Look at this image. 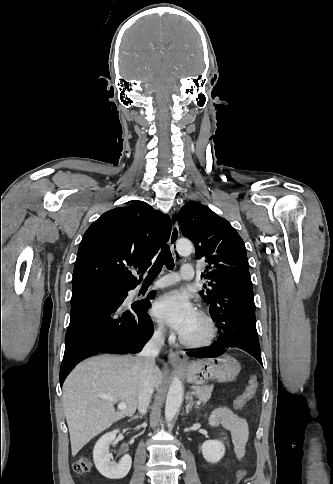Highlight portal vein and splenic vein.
Listing matches in <instances>:
<instances>
[{
	"instance_id": "1",
	"label": "portal vein and splenic vein",
	"mask_w": 333,
	"mask_h": 484,
	"mask_svg": "<svg viewBox=\"0 0 333 484\" xmlns=\"http://www.w3.org/2000/svg\"><path fill=\"white\" fill-rule=\"evenodd\" d=\"M102 398L106 399V400H109V401H113V399L111 397H108V396H102ZM199 403V402H198ZM118 409H121V410H124L126 409V404L124 402H120L118 404Z\"/></svg>"
}]
</instances>
